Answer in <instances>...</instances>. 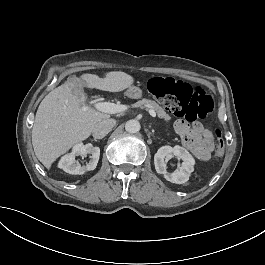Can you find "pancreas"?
Returning <instances> with one entry per match:
<instances>
[{
    "mask_svg": "<svg viewBox=\"0 0 265 265\" xmlns=\"http://www.w3.org/2000/svg\"><path fill=\"white\" fill-rule=\"evenodd\" d=\"M141 105H146L147 110H154L157 116L165 121V131L167 132V137L170 138V133L168 132V123L170 122L171 117L166 112H164V110L161 106L158 105V103L153 100L142 99L135 103L133 106L139 107Z\"/></svg>",
    "mask_w": 265,
    "mask_h": 265,
    "instance_id": "cf45deb5",
    "label": "pancreas"
}]
</instances>
